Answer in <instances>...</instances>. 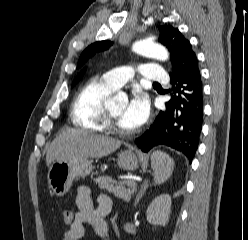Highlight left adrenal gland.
Segmentation results:
<instances>
[{"mask_svg":"<svg viewBox=\"0 0 248 240\" xmlns=\"http://www.w3.org/2000/svg\"><path fill=\"white\" fill-rule=\"evenodd\" d=\"M148 188V181L144 182L140 189H139V192L137 193V196H136V200L134 202V206L136 207V205L138 204L139 200L143 197V195L146 193V190Z\"/></svg>","mask_w":248,"mask_h":240,"instance_id":"obj_1","label":"left adrenal gland"}]
</instances>
